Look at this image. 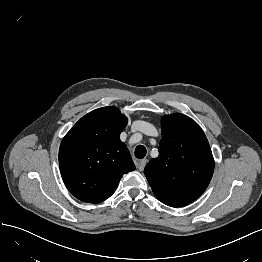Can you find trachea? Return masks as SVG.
Listing matches in <instances>:
<instances>
[{"label":"trachea","instance_id":"1","mask_svg":"<svg viewBox=\"0 0 262 262\" xmlns=\"http://www.w3.org/2000/svg\"><path fill=\"white\" fill-rule=\"evenodd\" d=\"M147 150L145 146L143 145H138L135 148V157L138 159H143L146 156Z\"/></svg>","mask_w":262,"mask_h":262}]
</instances>
